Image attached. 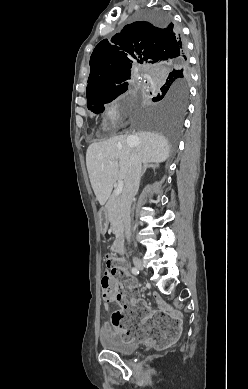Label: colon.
<instances>
[{"label":"colon","mask_w":248,"mask_h":389,"mask_svg":"<svg viewBox=\"0 0 248 389\" xmlns=\"http://www.w3.org/2000/svg\"><path fill=\"white\" fill-rule=\"evenodd\" d=\"M108 270L102 276L103 297L115 299L121 310L113 312L111 322L122 332L124 344H153L155 350H166L176 344L181 323L170 311H152L137 286V279L127 273L120 260L108 257Z\"/></svg>","instance_id":"colon-1"}]
</instances>
